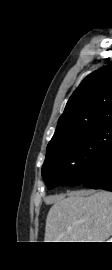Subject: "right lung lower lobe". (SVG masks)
<instances>
[{
    "mask_svg": "<svg viewBox=\"0 0 112 270\" xmlns=\"http://www.w3.org/2000/svg\"><path fill=\"white\" fill-rule=\"evenodd\" d=\"M81 184L88 188L112 191V145L94 160Z\"/></svg>",
    "mask_w": 112,
    "mask_h": 270,
    "instance_id": "98d812e1",
    "label": "right lung lower lobe"
}]
</instances>
